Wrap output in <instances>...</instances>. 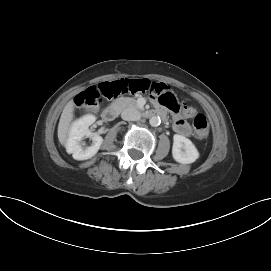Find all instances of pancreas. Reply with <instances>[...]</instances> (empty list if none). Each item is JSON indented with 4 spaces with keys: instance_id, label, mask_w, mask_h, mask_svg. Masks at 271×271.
Instances as JSON below:
<instances>
[{
    "instance_id": "pancreas-1",
    "label": "pancreas",
    "mask_w": 271,
    "mask_h": 271,
    "mask_svg": "<svg viewBox=\"0 0 271 271\" xmlns=\"http://www.w3.org/2000/svg\"><path fill=\"white\" fill-rule=\"evenodd\" d=\"M115 104L119 105L122 109L127 107H136V100L132 98L122 97L115 101Z\"/></svg>"
}]
</instances>
